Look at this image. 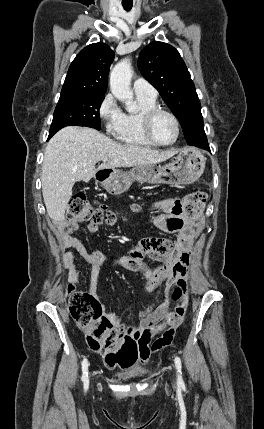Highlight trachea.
Segmentation results:
<instances>
[{
    "mask_svg": "<svg viewBox=\"0 0 264 429\" xmlns=\"http://www.w3.org/2000/svg\"><path fill=\"white\" fill-rule=\"evenodd\" d=\"M122 5L126 11H130L132 9V6H133V4H126V3H123Z\"/></svg>",
    "mask_w": 264,
    "mask_h": 429,
    "instance_id": "3493384b",
    "label": "trachea"
}]
</instances>
